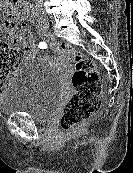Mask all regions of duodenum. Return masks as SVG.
<instances>
[{"instance_id":"1","label":"duodenum","mask_w":133,"mask_h":173,"mask_svg":"<svg viewBox=\"0 0 133 173\" xmlns=\"http://www.w3.org/2000/svg\"><path fill=\"white\" fill-rule=\"evenodd\" d=\"M13 4H16L19 6L22 15L27 18L31 19L32 18V7L29 3L25 2L24 0H12Z\"/></svg>"}]
</instances>
